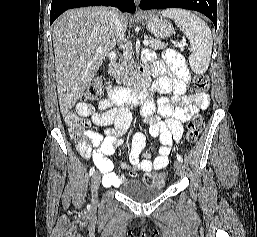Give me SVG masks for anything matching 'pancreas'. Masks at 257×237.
Here are the masks:
<instances>
[{"label":"pancreas","mask_w":257,"mask_h":237,"mask_svg":"<svg viewBox=\"0 0 257 237\" xmlns=\"http://www.w3.org/2000/svg\"><path fill=\"white\" fill-rule=\"evenodd\" d=\"M150 48L154 50L165 49L167 45L160 40L150 38ZM133 52L130 50L124 51L119 61L112 63L109 68V73L117 82L128 84L130 82V75L133 69Z\"/></svg>","instance_id":"obj_1"}]
</instances>
